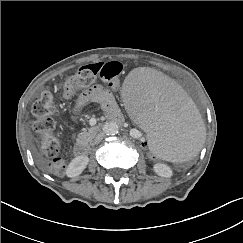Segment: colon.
I'll list each match as a JSON object with an SVG mask.
<instances>
[{"instance_id": "colon-1", "label": "colon", "mask_w": 243, "mask_h": 243, "mask_svg": "<svg viewBox=\"0 0 243 243\" xmlns=\"http://www.w3.org/2000/svg\"><path fill=\"white\" fill-rule=\"evenodd\" d=\"M123 64L118 61L108 63H94L81 66L73 75L64 82V94L66 97L74 96L80 89L88 87L97 80L105 82L111 88H117L121 82ZM56 110L55 97L51 92H44L33 104L31 111L34 117L33 128L41 135L42 150L48 158V166L54 173H62L65 168L64 159L59 155L60 144L52 134L55 127L52 114ZM146 158L152 163L169 168L171 163L163 160L158 153L151 148L147 141L137 143Z\"/></svg>"}]
</instances>
